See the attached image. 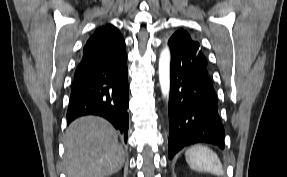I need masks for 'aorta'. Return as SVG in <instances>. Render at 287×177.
Here are the masks:
<instances>
[{
  "label": "aorta",
  "instance_id": "762f6f07",
  "mask_svg": "<svg viewBox=\"0 0 287 177\" xmlns=\"http://www.w3.org/2000/svg\"><path fill=\"white\" fill-rule=\"evenodd\" d=\"M159 83L163 96L168 99L170 92V51L168 48L163 49L160 54Z\"/></svg>",
  "mask_w": 287,
  "mask_h": 177
}]
</instances>
